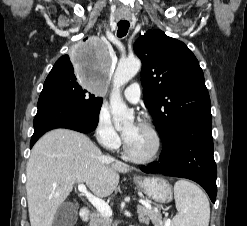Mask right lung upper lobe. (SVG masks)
Returning a JSON list of instances; mask_svg holds the SVG:
<instances>
[{"label": "right lung upper lobe", "mask_w": 247, "mask_h": 226, "mask_svg": "<svg viewBox=\"0 0 247 226\" xmlns=\"http://www.w3.org/2000/svg\"><path fill=\"white\" fill-rule=\"evenodd\" d=\"M68 59H69L68 55H63L62 57H60V58L56 61V63H55L54 66H58L60 63H63V62H65V61H67Z\"/></svg>", "instance_id": "1"}]
</instances>
